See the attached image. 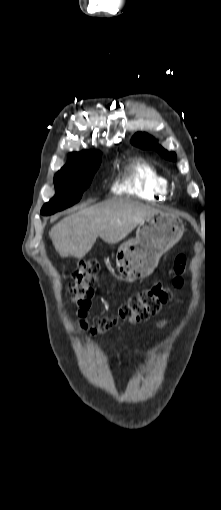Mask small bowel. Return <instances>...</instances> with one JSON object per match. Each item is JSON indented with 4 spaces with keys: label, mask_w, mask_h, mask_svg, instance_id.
Returning a JSON list of instances; mask_svg holds the SVG:
<instances>
[{
    "label": "small bowel",
    "mask_w": 221,
    "mask_h": 510,
    "mask_svg": "<svg viewBox=\"0 0 221 510\" xmlns=\"http://www.w3.org/2000/svg\"><path fill=\"white\" fill-rule=\"evenodd\" d=\"M169 323V319L167 318H161V319H158L154 322V325L155 327L157 328H162L164 326H166L167 324Z\"/></svg>",
    "instance_id": "1"
}]
</instances>
